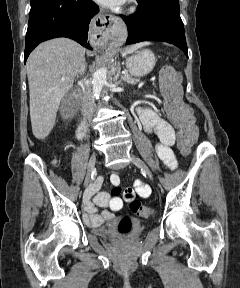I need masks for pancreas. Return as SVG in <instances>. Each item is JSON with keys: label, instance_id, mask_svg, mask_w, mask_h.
Masks as SVG:
<instances>
[{"label": "pancreas", "instance_id": "1", "mask_svg": "<svg viewBox=\"0 0 240 288\" xmlns=\"http://www.w3.org/2000/svg\"><path fill=\"white\" fill-rule=\"evenodd\" d=\"M122 80L128 84H135L138 81V79H135L130 75L123 76Z\"/></svg>", "mask_w": 240, "mask_h": 288}]
</instances>
